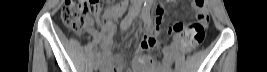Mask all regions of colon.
<instances>
[{"label": "colon", "instance_id": "5ec220e1", "mask_svg": "<svg viewBox=\"0 0 267 72\" xmlns=\"http://www.w3.org/2000/svg\"><path fill=\"white\" fill-rule=\"evenodd\" d=\"M196 10L197 22L189 27L175 23L173 29L183 37V47L189 51L200 45L205 37L208 26V13L204 9V0L190 1ZM102 12L101 0H66L62 7L61 17L67 27L75 33H81L93 17L100 16ZM106 29L113 27L111 22H106Z\"/></svg>", "mask_w": 267, "mask_h": 72}]
</instances>
